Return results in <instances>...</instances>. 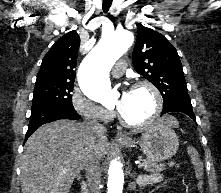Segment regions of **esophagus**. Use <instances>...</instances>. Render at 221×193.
<instances>
[{
	"label": "esophagus",
	"instance_id": "1",
	"mask_svg": "<svg viewBox=\"0 0 221 193\" xmlns=\"http://www.w3.org/2000/svg\"><path fill=\"white\" fill-rule=\"evenodd\" d=\"M116 139H120V140L126 139V135L122 132H117Z\"/></svg>",
	"mask_w": 221,
	"mask_h": 193
}]
</instances>
